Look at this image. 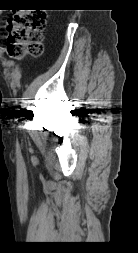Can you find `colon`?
Listing matches in <instances>:
<instances>
[{
  "label": "colon",
  "mask_w": 138,
  "mask_h": 253,
  "mask_svg": "<svg viewBox=\"0 0 138 253\" xmlns=\"http://www.w3.org/2000/svg\"><path fill=\"white\" fill-rule=\"evenodd\" d=\"M46 14L37 11H20L9 20L7 27L8 54L21 58L42 52V35L46 27Z\"/></svg>",
  "instance_id": "colon-1"
}]
</instances>
